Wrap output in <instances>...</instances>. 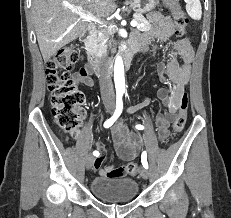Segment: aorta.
Returning a JSON list of instances; mask_svg holds the SVG:
<instances>
[{"mask_svg": "<svg viewBox=\"0 0 231 218\" xmlns=\"http://www.w3.org/2000/svg\"><path fill=\"white\" fill-rule=\"evenodd\" d=\"M114 82L117 91L125 90L124 64L121 56H117L115 59Z\"/></svg>", "mask_w": 231, "mask_h": 218, "instance_id": "obj_1", "label": "aorta"}]
</instances>
